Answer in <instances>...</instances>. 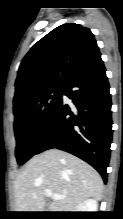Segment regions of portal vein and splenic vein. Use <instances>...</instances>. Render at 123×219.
<instances>
[{"label":"portal vein and splenic vein","instance_id":"18ae733b","mask_svg":"<svg viewBox=\"0 0 123 219\" xmlns=\"http://www.w3.org/2000/svg\"><path fill=\"white\" fill-rule=\"evenodd\" d=\"M44 194L46 197H50L52 199H55V200H59V199H64L66 198L65 196H62V195H59V194H55L53 193L51 190L47 189L44 191Z\"/></svg>","mask_w":123,"mask_h":219}]
</instances>
